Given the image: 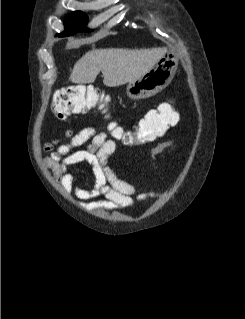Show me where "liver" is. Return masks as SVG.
I'll return each mask as SVG.
<instances>
[{"instance_id": "obj_1", "label": "liver", "mask_w": 245, "mask_h": 319, "mask_svg": "<svg viewBox=\"0 0 245 319\" xmlns=\"http://www.w3.org/2000/svg\"><path fill=\"white\" fill-rule=\"evenodd\" d=\"M166 48L92 49L74 65L70 81L93 83L102 72L104 85L121 86L147 73L166 53Z\"/></svg>"}]
</instances>
